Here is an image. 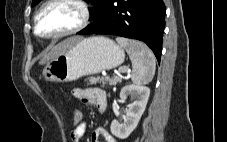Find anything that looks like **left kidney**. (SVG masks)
<instances>
[{"label":"left kidney","mask_w":227,"mask_h":142,"mask_svg":"<svg viewBox=\"0 0 227 142\" xmlns=\"http://www.w3.org/2000/svg\"><path fill=\"white\" fill-rule=\"evenodd\" d=\"M150 89L146 86L129 84L124 86L120 92V98L125 101L131 96L135 101L128 105L124 122L120 124L117 120L111 123V133L119 139L127 138L137 127L142 114L145 111Z\"/></svg>","instance_id":"1"}]
</instances>
